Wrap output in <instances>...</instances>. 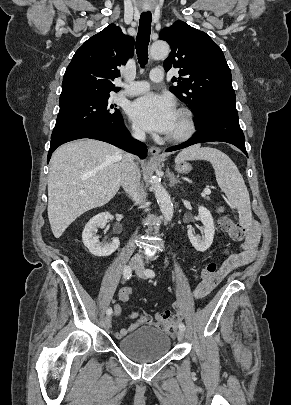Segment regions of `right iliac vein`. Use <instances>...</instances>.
Masks as SVG:
<instances>
[{"label":"right iliac vein","instance_id":"63e3f726","mask_svg":"<svg viewBox=\"0 0 291 405\" xmlns=\"http://www.w3.org/2000/svg\"><path fill=\"white\" fill-rule=\"evenodd\" d=\"M129 265H130V267H131L132 269H135V270H136V269L138 268V266H139L137 260H135V259H132V260L129 262ZM103 324H104V328H105V329H109V328H110V326H111V316H110V315H107V316L104 318Z\"/></svg>","mask_w":291,"mask_h":405}]
</instances>
